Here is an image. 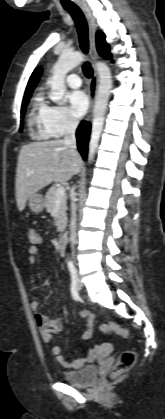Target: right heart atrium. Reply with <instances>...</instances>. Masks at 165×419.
Masks as SVG:
<instances>
[{
	"mask_svg": "<svg viewBox=\"0 0 165 419\" xmlns=\"http://www.w3.org/2000/svg\"><path fill=\"white\" fill-rule=\"evenodd\" d=\"M45 124L52 137H60L78 125V119L63 105H46Z\"/></svg>",
	"mask_w": 165,
	"mask_h": 419,
	"instance_id": "1",
	"label": "right heart atrium"
}]
</instances>
